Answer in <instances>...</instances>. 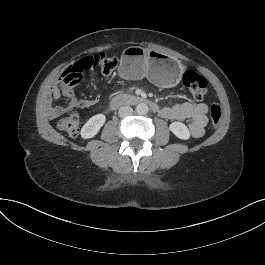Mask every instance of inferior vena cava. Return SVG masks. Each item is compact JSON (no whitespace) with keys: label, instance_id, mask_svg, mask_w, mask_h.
<instances>
[{"label":"inferior vena cava","instance_id":"602c4592","mask_svg":"<svg viewBox=\"0 0 265 265\" xmlns=\"http://www.w3.org/2000/svg\"><path fill=\"white\" fill-rule=\"evenodd\" d=\"M118 114L120 117H126L133 114V109L130 106H122L119 108Z\"/></svg>","mask_w":265,"mask_h":265}]
</instances>
